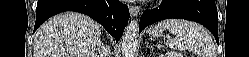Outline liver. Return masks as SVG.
Masks as SVG:
<instances>
[{
	"instance_id": "1",
	"label": "liver",
	"mask_w": 249,
	"mask_h": 57,
	"mask_svg": "<svg viewBox=\"0 0 249 57\" xmlns=\"http://www.w3.org/2000/svg\"><path fill=\"white\" fill-rule=\"evenodd\" d=\"M101 26L86 15L66 12L43 24L35 35L34 57H99Z\"/></svg>"
}]
</instances>
